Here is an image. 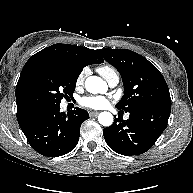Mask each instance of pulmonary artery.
I'll return each mask as SVG.
<instances>
[{
  "label": "pulmonary artery",
  "instance_id": "e3ab8cb5",
  "mask_svg": "<svg viewBox=\"0 0 193 193\" xmlns=\"http://www.w3.org/2000/svg\"><path fill=\"white\" fill-rule=\"evenodd\" d=\"M110 87H115L119 83V75L117 73H112L106 78ZM128 118V115L126 116Z\"/></svg>",
  "mask_w": 193,
  "mask_h": 193
}]
</instances>
